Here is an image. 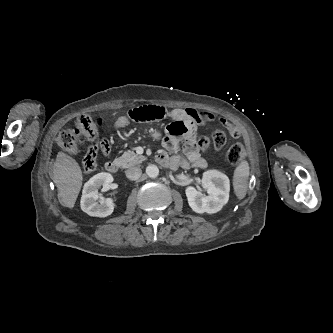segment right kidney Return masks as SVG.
<instances>
[{"label": "right kidney", "instance_id": "ca27d5eb", "mask_svg": "<svg viewBox=\"0 0 333 333\" xmlns=\"http://www.w3.org/2000/svg\"><path fill=\"white\" fill-rule=\"evenodd\" d=\"M113 177L111 174L101 172L90 178L83 187L82 197L80 201L81 209L90 216L107 217L111 215L115 203L110 198L102 200L100 203L99 189L102 187L103 191L112 188Z\"/></svg>", "mask_w": 333, "mask_h": 333}]
</instances>
